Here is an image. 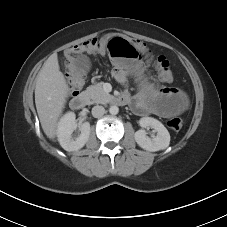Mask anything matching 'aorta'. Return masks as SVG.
Segmentation results:
<instances>
[{
	"label": "aorta",
	"instance_id": "1",
	"mask_svg": "<svg viewBox=\"0 0 227 227\" xmlns=\"http://www.w3.org/2000/svg\"><path fill=\"white\" fill-rule=\"evenodd\" d=\"M109 112L112 115H116L119 112V108L116 105H113L109 108Z\"/></svg>",
	"mask_w": 227,
	"mask_h": 227
}]
</instances>
